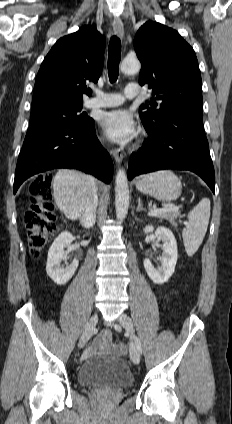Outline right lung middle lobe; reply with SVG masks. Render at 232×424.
I'll return each mask as SVG.
<instances>
[{
    "label": "right lung middle lobe",
    "mask_w": 232,
    "mask_h": 424,
    "mask_svg": "<svg viewBox=\"0 0 232 424\" xmlns=\"http://www.w3.org/2000/svg\"><path fill=\"white\" fill-rule=\"evenodd\" d=\"M82 105L45 104L32 108L29 126H62L70 128H84L94 123V120L85 117L79 112Z\"/></svg>",
    "instance_id": "obj_1"
}]
</instances>
